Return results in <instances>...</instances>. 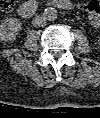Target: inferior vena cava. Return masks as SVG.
Listing matches in <instances>:
<instances>
[{"mask_svg": "<svg viewBox=\"0 0 100 118\" xmlns=\"http://www.w3.org/2000/svg\"><path fill=\"white\" fill-rule=\"evenodd\" d=\"M32 24L37 27H44L46 25V18L44 15H35L33 20H32Z\"/></svg>", "mask_w": 100, "mask_h": 118, "instance_id": "obj_1", "label": "inferior vena cava"}]
</instances>
